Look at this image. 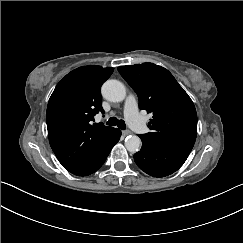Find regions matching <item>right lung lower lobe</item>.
<instances>
[{"label": "right lung lower lobe", "mask_w": 243, "mask_h": 243, "mask_svg": "<svg viewBox=\"0 0 243 243\" xmlns=\"http://www.w3.org/2000/svg\"><path fill=\"white\" fill-rule=\"evenodd\" d=\"M120 136V130L114 132L107 142L89 160L67 170L77 176H87L96 172L105 162L113 146L119 141Z\"/></svg>", "instance_id": "obj_1"}]
</instances>
